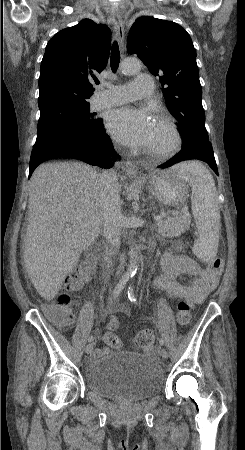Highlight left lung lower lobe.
<instances>
[{"instance_id": "obj_1", "label": "left lung lower lobe", "mask_w": 245, "mask_h": 450, "mask_svg": "<svg viewBox=\"0 0 245 450\" xmlns=\"http://www.w3.org/2000/svg\"><path fill=\"white\" fill-rule=\"evenodd\" d=\"M187 159H199L207 162L210 165V167L215 171V173L218 175V169L215 158L213 156V150L211 149V147L201 148L199 150L191 152L181 151L177 153L175 156H173L171 159H169L167 162L159 165L158 168H168L175 163Z\"/></svg>"}]
</instances>
